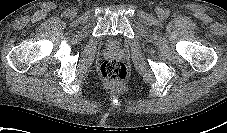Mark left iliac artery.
<instances>
[{"label":"left iliac artery","mask_w":227,"mask_h":133,"mask_svg":"<svg viewBox=\"0 0 227 133\" xmlns=\"http://www.w3.org/2000/svg\"><path fill=\"white\" fill-rule=\"evenodd\" d=\"M165 15H169V11L168 10L165 11Z\"/></svg>","instance_id":"44dca946"}]
</instances>
